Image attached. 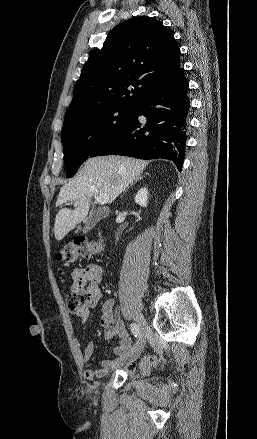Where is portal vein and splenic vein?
Segmentation results:
<instances>
[{
	"instance_id": "portal-vein-and-splenic-vein-1",
	"label": "portal vein and splenic vein",
	"mask_w": 257,
	"mask_h": 439,
	"mask_svg": "<svg viewBox=\"0 0 257 439\" xmlns=\"http://www.w3.org/2000/svg\"><path fill=\"white\" fill-rule=\"evenodd\" d=\"M95 200L99 204L104 205V204H106L109 201V196H108L107 193H102V194H99V195L95 196Z\"/></svg>"
}]
</instances>
